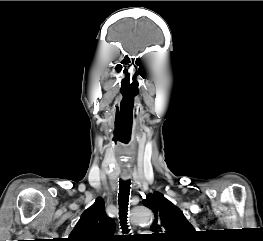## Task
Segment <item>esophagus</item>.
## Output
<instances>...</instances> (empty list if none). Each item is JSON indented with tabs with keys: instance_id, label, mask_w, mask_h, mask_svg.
<instances>
[{
	"instance_id": "1",
	"label": "esophagus",
	"mask_w": 263,
	"mask_h": 241,
	"mask_svg": "<svg viewBox=\"0 0 263 241\" xmlns=\"http://www.w3.org/2000/svg\"><path fill=\"white\" fill-rule=\"evenodd\" d=\"M122 179H123L124 181L130 179V174H129L128 172H123V173H122Z\"/></svg>"
}]
</instances>
